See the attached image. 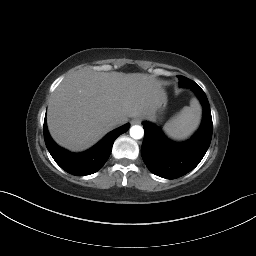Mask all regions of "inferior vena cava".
<instances>
[{
	"label": "inferior vena cava",
	"instance_id": "602c4592",
	"mask_svg": "<svg viewBox=\"0 0 256 256\" xmlns=\"http://www.w3.org/2000/svg\"><path fill=\"white\" fill-rule=\"evenodd\" d=\"M120 124H121V121L119 119H116V120H113L110 125L112 127H116L117 125H120Z\"/></svg>",
	"mask_w": 256,
	"mask_h": 256
}]
</instances>
